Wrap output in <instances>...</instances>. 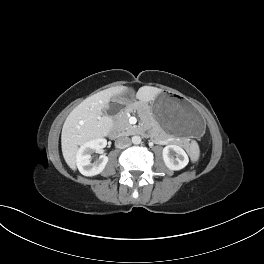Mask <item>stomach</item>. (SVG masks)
Wrapping results in <instances>:
<instances>
[{"instance_id": "obj_1", "label": "stomach", "mask_w": 264, "mask_h": 264, "mask_svg": "<svg viewBox=\"0 0 264 264\" xmlns=\"http://www.w3.org/2000/svg\"><path fill=\"white\" fill-rule=\"evenodd\" d=\"M112 101L131 106L125 93L112 97ZM154 120L169 133L183 137H199L205 131L204 120L193 105L175 92L162 91L150 106Z\"/></svg>"}]
</instances>
